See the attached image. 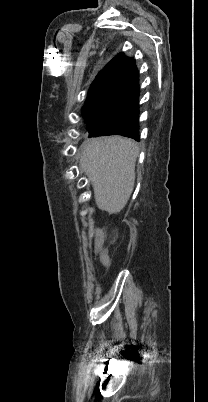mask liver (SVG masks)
<instances>
[{
    "label": "liver",
    "mask_w": 208,
    "mask_h": 402,
    "mask_svg": "<svg viewBox=\"0 0 208 402\" xmlns=\"http://www.w3.org/2000/svg\"><path fill=\"white\" fill-rule=\"evenodd\" d=\"M138 146L121 136L85 140L80 166L94 190L96 206L109 214L125 208L135 184Z\"/></svg>",
    "instance_id": "obj_1"
}]
</instances>
